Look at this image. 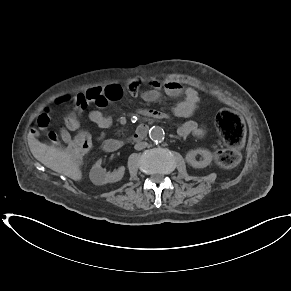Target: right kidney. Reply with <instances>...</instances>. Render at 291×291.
Instances as JSON below:
<instances>
[{
    "instance_id": "1",
    "label": "right kidney",
    "mask_w": 291,
    "mask_h": 291,
    "mask_svg": "<svg viewBox=\"0 0 291 291\" xmlns=\"http://www.w3.org/2000/svg\"><path fill=\"white\" fill-rule=\"evenodd\" d=\"M102 160L99 159L90 171V179L95 185H103L107 183H114L120 181L125 173V167L121 166L118 170L107 173L105 169L101 167Z\"/></svg>"
}]
</instances>
